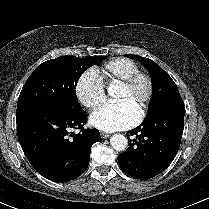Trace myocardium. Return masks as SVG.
Instances as JSON below:
<instances>
[{"instance_id": "1", "label": "myocardium", "mask_w": 209, "mask_h": 209, "mask_svg": "<svg viewBox=\"0 0 209 209\" xmlns=\"http://www.w3.org/2000/svg\"><path fill=\"white\" fill-rule=\"evenodd\" d=\"M140 80L145 81L147 85V93H146L143 106L140 112L138 113V119H137L138 121H141L146 116L150 108L151 102L153 100V97H154L155 88H154V81L152 77L146 72L138 70L132 73L128 78H126L124 81L118 84L119 88L131 90L135 86V84Z\"/></svg>"}]
</instances>
